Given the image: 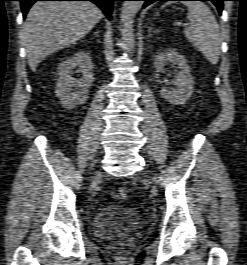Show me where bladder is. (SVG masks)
I'll return each instance as SVG.
<instances>
[{
    "instance_id": "1",
    "label": "bladder",
    "mask_w": 247,
    "mask_h": 265,
    "mask_svg": "<svg viewBox=\"0 0 247 265\" xmlns=\"http://www.w3.org/2000/svg\"><path fill=\"white\" fill-rule=\"evenodd\" d=\"M140 221V215L129 207L108 206L97 215L93 231L99 237H116L136 228Z\"/></svg>"
}]
</instances>
